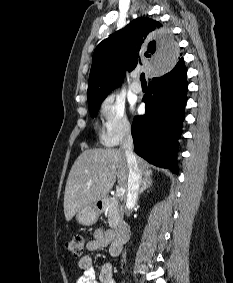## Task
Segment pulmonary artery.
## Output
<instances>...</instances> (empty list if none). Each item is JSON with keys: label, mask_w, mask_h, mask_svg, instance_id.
Segmentation results:
<instances>
[{"label": "pulmonary artery", "mask_w": 233, "mask_h": 283, "mask_svg": "<svg viewBox=\"0 0 233 283\" xmlns=\"http://www.w3.org/2000/svg\"><path fill=\"white\" fill-rule=\"evenodd\" d=\"M133 79H134V82L132 83V85H131V89H132V91L134 92V93H141V91H142V87H141V85L138 83V74H134L133 75Z\"/></svg>", "instance_id": "obj_1"}]
</instances>
